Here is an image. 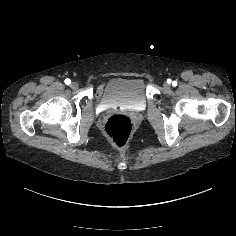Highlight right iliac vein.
I'll return each instance as SVG.
<instances>
[{
	"label": "right iliac vein",
	"mask_w": 236,
	"mask_h": 236,
	"mask_svg": "<svg viewBox=\"0 0 236 236\" xmlns=\"http://www.w3.org/2000/svg\"><path fill=\"white\" fill-rule=\"evenodd\" d=\"M70 87H71L73 90H76V89H78V84H77L76 82H72V83L70 84Z\"/></svg>",
	"instance_id": "right-iliac-vein-1"
}]
</instances>
